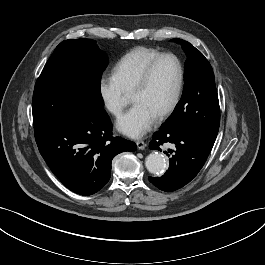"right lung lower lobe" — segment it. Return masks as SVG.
Wrapping results in <instances>:
<instances>
[{
	"label": "right lung lower lobe",
	"mask_w": 265,
	"mask_h": 265,
	"mask_svg": "<svg viewBox=\"0 0 265 265\" xmlns=\"http://www.w3.org/2000/svg\"><path fill=\"white\" fill-rule=\"evenodd\" d=\"M39 151L55 176L71 191L92 195L110 179L112 159L136 144L112 136L103 109L80 103L60 118L35 131Z\"/></svg>",
	"instance_id": "98d812e1"
}]
</instances>
